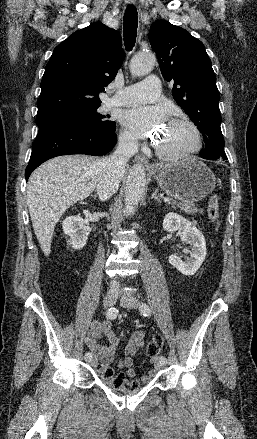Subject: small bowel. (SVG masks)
<instances>
[{
  "label": "small bowel",
  "instance_id": "1",
  "mask_svg": "<svg viewBox=\"0 0 257 439\" xmlns=\"http://www.w3.org/2000/svg\"><path fill=\"white\" fill-rule=\"evenodd\" d=\"M101 338H105L107 344H100ZM84 343L91 351L95 361L94 365L97 368L109 367L117 360L118 367L126 369L127 377L134 379L138 384L150 383L157 374V370L154 368L148 374L136 379L134 361L138 351L145 347V334L143 332L133 334L127 343H123L112 331L109 321L93 322ZM156 360V357L152 358L153 363Z\"/></svg>",
  "mask_w": 257,
  "mask_h": 439
}]
</instances>
